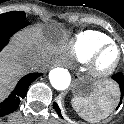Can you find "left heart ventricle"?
Listing matches in <instances>:
<instances>
[{
  "mask_svg": "<svg viewBox=\"0 0 124 124\" xmlns=\"http://www.w3.org/2000/svg\"><path fill=\"white\" fill-rule=\"evenodd\" d=\"M118 52L115 48L108 49L99 60V67L107 69L111 67L117 60Z\"/></svg>",
  "mask_w": 124,
  "mask_h": 124,
  "instance_id": "b2bd125f",
  "label": "left heart ventricle"
}]
</instances>
